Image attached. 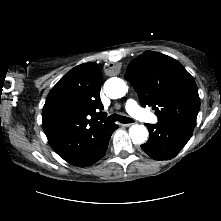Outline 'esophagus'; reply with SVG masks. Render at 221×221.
<instances>
[{
  "label": "esophagus",
  "instance_id": "34e87169",
  "mask_svg": "<svg viewBox=\"0 0 221 221\" xmlns=\"http://www.w3.org/2000/svg\"><path fill=\"white\" fill-rule=\"evenodd\" d=\"M120 125H122V126H125V127H129V126H131L132 125V123H127V124H120Z\"/></svg>",
  "mask_w": 221,
  "mask_h": 221
}]
</instances>
